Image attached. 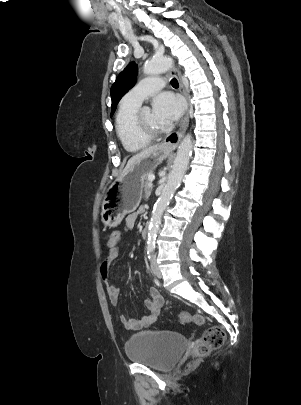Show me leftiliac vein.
Instances as JSON below:
<instances>
[{
	"label": "left iliac vein",
	"mask_w": 301,
	"mask_h": 405,
	"mask_svg": "<svg viewBox=\"0 0 301 405\" xmlns=\"http://www.w3.org/2000/svg\"><path fill=\"white\" fill-rule=\"evenodd\" d=\"M151 269L156 277L162 278V273L158 267L155 256L151 259Z\"/></svg>",
	"instance_id": "1"
}]
</instances>
